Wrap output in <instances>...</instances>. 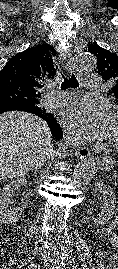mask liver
I'll return each mask as SVG.
<instances>
[{
  "label": "liver",
  "instance_id": "6515ba94",
  "mask_svg": "<svg viewBox=\"0 0 118 269\" xmlns=\"http://www.w3.org/2000/svg\"><path fill=\"white\" fill-rule=\"evenodd\" d=\"M52 152L51 131L44 120L19 111L0 115V181L23 177Z\"/></svg>",
  "mask_w": 118,
  "mask_h": 269
}]
</instances>
